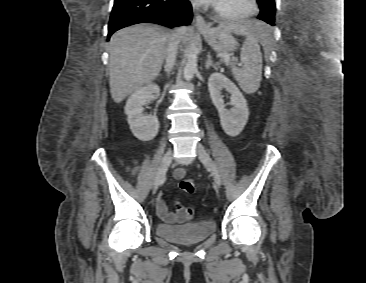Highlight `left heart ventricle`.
Here are the masks:
<instances>
[{"instance_id": "1", "label": "left heart ventricle", "mask_w": 366, "mask_h": 283, "mask_svg": "<svg viewBox=\"0 0 366 283\" xmlns=\"http://www.w3.org/2000/svg\"><path fill=\"white\" fill-rule=\"evenodd\" d=\"M216 5L220 9L232 13L244 12L249 8L248 0H219Z\"/></svg>"}]
</instances>
